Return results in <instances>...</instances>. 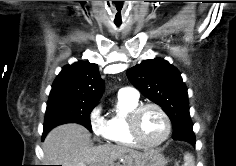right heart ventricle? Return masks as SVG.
<instances>
[{
  "mask_svg": "<svg viewBox=\"0 0 236 166\" xmlns=\"http://www.w3.org/2000/svg\"><path fill=\"white\" fill-rule=\"evenodd\" d=\"M139 105V100L118 96L117 110L107 120V139L121 147H139L131 137L128 116Z\"/></svg>",
  "mask_w": 236,
  "mask_h": 166,
  "instance_id": "e07e8e85",
  "label": "right heart ventricle"
}]
</instances>
